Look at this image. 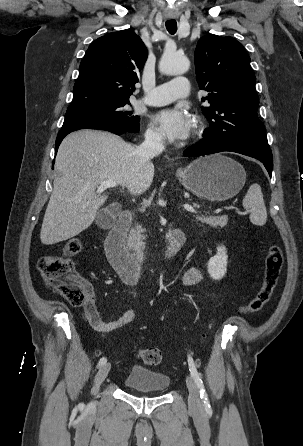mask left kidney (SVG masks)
Here are the masks:
<instances>
[{
  "mask_svg": "<svg viewBox=\"0 0 303 446\" xmlns=\"http://www.w3.org/2000/svg\"><path fill=\"white\" fill-rule=\"evenodd\" d=\"M227 251L224 246L217 247V254L212 257L208 264L207 269L210 277L214 280H220L227 272Z\"/></svg>",
  "mask_w": 303,
  "mask_h": 446,
  "instance_id": "left-kidney-1",
  "label": "left kidney"
}]
</instances>
